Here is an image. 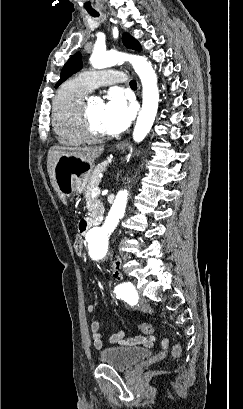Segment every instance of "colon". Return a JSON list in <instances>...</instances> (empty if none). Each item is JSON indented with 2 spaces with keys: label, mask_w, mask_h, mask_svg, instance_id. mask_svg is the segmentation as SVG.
<instances>
[{
  "label": "colon",
  "mask_w": 243,
  "mask_h": 409,
  "mask_svg": "<svg viewBox=\"0 0 243 409\" xmlns=\"http://www.w3.org/2000/svg\"><path fill=\"white\" fill-rule=\"evenodd\" d=\"M82 243H83V241H82L81 236H80V235H76V236L74 237V240H73V248H74V251H75L78 255H80L81 252H82ZM139 329H140L141 332H143V333H145V334L153 333V328H152V326L149 325V324H141V325L139 326ZM164 345H165V346L167 345V341H166V340L164 341ZM180 354H181V346H180L179 344H175V345L173 346V349H172V356H173L174 358H178V357L180 356Z\"/></svg>",
  "instance_id": "5ec220e1"
}]
</instances>
